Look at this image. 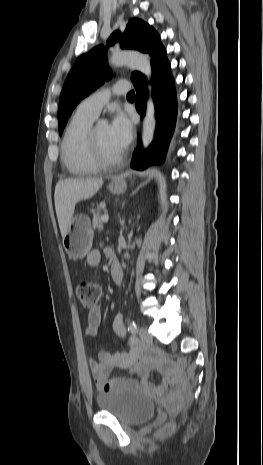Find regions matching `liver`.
Listing matches in <instances>:
<instances>
[{
	"label": "liver",
	"mask_w": 263,
	"mask_h": 465,
	"mask_svg": "<svg viewBox=\"0 0 263 465\" xmlns=\"http://www.w3.org/2000/svg\"><path fill=\"white\" fill-rule=\"evenodd\" d=\"M103 185L102 178L61 179L55 187V209L62 238L73 218L75 205L94 196Z\"/></svg>",
	"instance_id": "obj_1"
}]
</instances>
